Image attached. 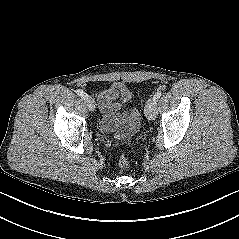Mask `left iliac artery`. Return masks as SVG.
<instances>
[{
  "label": "left iliac artery",
  "mask_w": 239,
  "mask_h": 239,
  "mask_svg": "<svg viewBox=\"0 0 239 239\" xmlns=\"http://www.w3.org/2000/svg\"><path fill=\"white\" fill-rule=\"evenodd\" d=\"M161 95H162V91H161V90H160V91H157V92L155 93L153 99L157 102L158 99L161 97Z\"/></svg>",
  "instance_id": "44dca946"
}]
</instances>
